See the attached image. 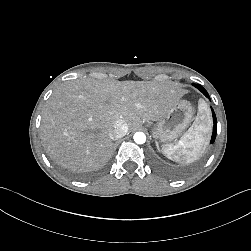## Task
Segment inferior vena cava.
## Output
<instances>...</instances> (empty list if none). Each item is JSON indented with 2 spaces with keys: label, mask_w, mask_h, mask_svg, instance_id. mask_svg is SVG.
<instances>
[{
  "label": "inferior vena cava",
  "mask_w": 251,
  "mask_h": 251,
  "mask_svg": "<svg viewBox=\"0 0 251 251\" xmlns=\"http://www.w3.org/2000/svg\"><path fill=\"white\" fill-rule=\"evenodd\" d=\"M124 131V126L120 122H115L109 133L111 136H118Z\"/></svg>",
  "instance_id": "obj_1"
}]
</instances>
